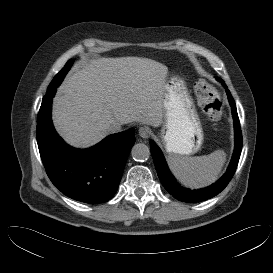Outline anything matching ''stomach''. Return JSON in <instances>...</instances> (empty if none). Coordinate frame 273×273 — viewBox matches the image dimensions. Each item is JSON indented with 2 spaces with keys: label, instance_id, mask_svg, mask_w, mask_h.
<instances>
[{
  "label": "stomach",
  "instance_id": "1",
  "mask_svg": "<svg viewBox=\"0 0 273 273\" xmlns=\"http://www.w3.org/2000/svg\"><path fill=\"white\" fill-rule=\"evenodd\" d=\"M161 138L169 155L185 156L197 152L204 140L203 129L186 82L170 74L163 94Z\"/></svg>",
  "mask_w": 273,
  "mask_h": 273
}]
</instances>
